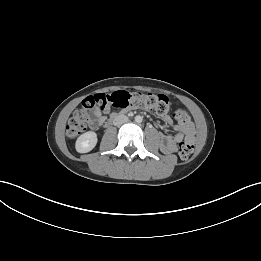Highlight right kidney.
Listing matches in <instances>:
<instances>
[{
  "label": "right kidney",
  "instance_id": "ca27d5eb",
  "mask_svg": "<svg viewBox=\"0 0 261 261\" xmlns=\"http://www.w3.org/2000/svg\"><path fill=\"white\" fill-rule=\"evenodd\" d=\"M97 144V134L89 131L80 135L76 141L75 147L79 153L91 151Z\"/></svg>",
  "mask_w": 261,
  "mask_h": 261
}]
</instances>
